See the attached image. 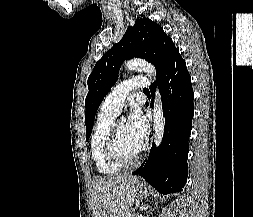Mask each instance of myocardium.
I'll return each mask as SVG.
<instances>
[{
	"label": "myocardium",
	"mask_w": 253,
	"mask_h": 217,
	"mask_svg": "<svg viewBox=\"0 0 253 217\" xmlns=\"http://www.w3.org/2000/svg\"><path fill=\"white\" fill-rule=\"evenodd\" d=\"M117 125L113 123L110 127L108 135L105 140L104 150L107 158L114 164L119 166H131L139 161L145 151V144L143 143L139 151L131 158L124 157L118 150L117 145Z\"/></svg>",
	"instance_id": "obj_1"
}]
</instances>
